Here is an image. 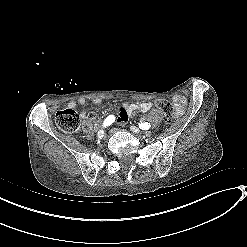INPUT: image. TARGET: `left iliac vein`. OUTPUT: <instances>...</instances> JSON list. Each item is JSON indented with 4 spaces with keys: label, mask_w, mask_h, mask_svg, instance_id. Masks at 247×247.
<instances>
[{
    "label": "left iliac vein",
    "mask_w": 247,
    "mask_h": 247,
    "mask_svg": "<svg viewBox=\"0 0 247 247\" xmlns=\"http://www.w3.org/2000/svg\"><path fill=\"white\" fill-rule=\"evenodd\" d=\"M130 129L134 132L139 134L141 131L139 130V128L135 127V126H131Z\"/></svg>",
    "instance_id": "obj_1"
}]
</instances>
